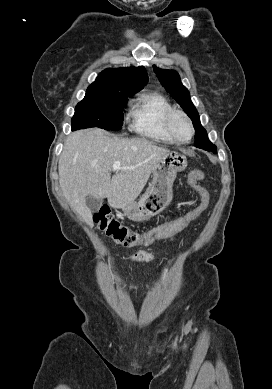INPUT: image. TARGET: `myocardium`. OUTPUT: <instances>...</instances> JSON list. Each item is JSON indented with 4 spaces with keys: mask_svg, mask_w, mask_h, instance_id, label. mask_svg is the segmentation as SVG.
Listing matches in <instances>:
<instances>
[{
    "mask_svg": "<svg viewBox=\"0 0 272 389\" xmlns=\"http://www.w3.org/2000/svg\"><path fill=\"white\" fill-rule=\"evenodd\" d=\"M176 116H181L187 121L189 128H190V131H191L190 137L188 139H180L174 133V130L172 127V122ZM164 125H165V129H166L167 133L170 135V137L175 142L180 143V144H185V143L190 142L195 135V129H194V125H193L191 118L189 117V115L185 111L180 110V109L170 110L165 116Z\"/></svg>",
    "mask_w": 272,
    "mask_h": 389,
    "instance_id": "f54148a6",
    "label": "myocardium"
}]
</instances>
